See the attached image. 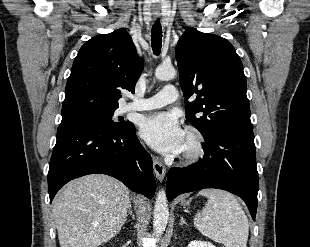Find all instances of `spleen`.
Segmentation results:
<instances>
[{"mask_svg":"<svg viewBox=\"0 0 310 247\" xmlns=\"http://www.w3.org/2000/svg\"><path fill=\"white\" fill-rule=\"evenodd\" d=\"M197 196L208 199L194 218V225L199 232L226 247H246L249 222L238 200L229 192L219 189H205Z\"/></svg>","mask_w":310,"mask_h":247,"instance_id":"3e777b00","label":"spleen"}]
</instances>
